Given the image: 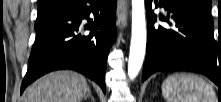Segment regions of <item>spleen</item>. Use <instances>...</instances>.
<instances>
[{
	"instance_id": "3e777b00",
	"label": "spleen",
	"mask_w": 221,
	"mask_h": 102,
	"mask_svg": "<svg viewBox=\"0 0 221 102\" xmlns=\"http://www.w3.org/2000/svg\"><path fill=\"white\" fill-rule=\"evenodd\" d=\"M162 94L167 102H216L214 90L200 76L175 73L162 84Z\"/></svg>"
}]
</instances>
